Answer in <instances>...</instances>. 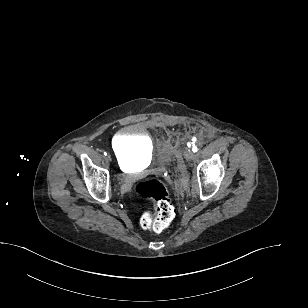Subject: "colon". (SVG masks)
I'll use <instances>...</instances> for the list:
<instances>
[{
  "label": "colon",
  "mask_w": 308,
  "mask_h": 308,
  "mask_svg": "<svg viewBox=\"0 0 308 308\" xmlns=\"http://www.w3.org/2000/svg\"><path fill=\"white\" fill-rule=\"evenodd\" d=\"M134 196L139 202L151 201L154 211L142 214L141 226L153 232L164 230L175 216V208L169 198L166 185L157 179L139 181L134 186Z\"/></svg>",
  "instance_id": "colon-1"
}]
</instances>
